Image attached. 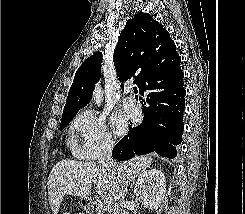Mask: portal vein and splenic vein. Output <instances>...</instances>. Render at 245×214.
I'll return each instance as SVG.
<instances>
[{
    "mask_svg": "<svg viewBox=\"0 0 245 214\" xmlns=\"http://www.w3.org/2000/svg\"><path fill=\"white\" fill-rule=\"evenodd\" d=\"M104 206L109 207L113 203L112 197H105L103 199Z\"/></svg>",
    "mask_w": 245,
    "mask_h": 214,
    "instance_id": "1",
    "label": "portal vein and splenic vein"
}]
</instances>
